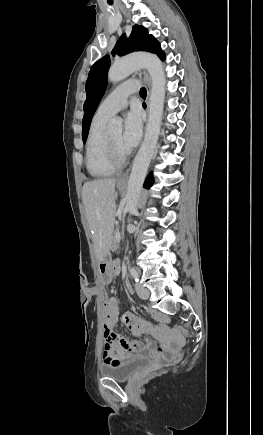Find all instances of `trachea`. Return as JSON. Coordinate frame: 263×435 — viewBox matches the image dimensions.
<instances>
[{"label":"trachea","mask_w":263,"mask_h":435,"mask_svg":"<svg viewBox=\"0 0 263 435\" xmlns=\"http://www.w3.org/2000/svg\"><path fill=\"white\" fill-rule=\"evenodd\" d=\"M146 95H147L146 89H145L144 87H142V88L140 89V96H142V97H146Z\"/></svg>","instance_id":"trachea-1"}]
</instances>
